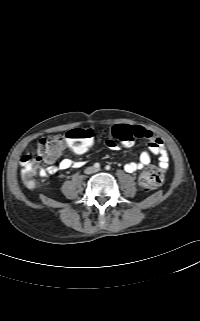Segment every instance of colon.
<instances>
[{"instance_id":"obj_1","label":"colon","mask_w":200,"mask_h":321,"mask_svg":"<svg viewBox=\"0 0 200 321\" xmlns=\"http://www.w3.org/2000/svg\"><path fill=\"white\" fill-rule=\"evenodd\" d=\"M112 137L125 146H131L140 138L138 130L129 125H116L111 130ZM93 142V133L87 128L71 129L64 135H51L42 138L35 151L21 158L22 177L29 188L35 184V175L42 162L57 156L65 146L78 154L84 153ZM163 173L156 166L147 167L139 177V185L144 191H151L161 185Z\"/></svg>"}]
</instances>
